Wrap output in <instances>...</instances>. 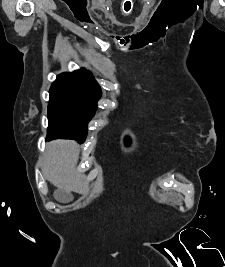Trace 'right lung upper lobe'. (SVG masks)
<instances>
[{"label":"right lung upper lobe","instance_id":"1","mask_svg":"<svg viewBox=\"0 0 225 267\" xmlns=\"http://www.w3.org/2000/svg\"><path fill=\"white\" fill-rule=\"evenodd\" d=\"M52 85L79 91L94 103L101 96L100 86L91 73L85 69L74 71L73 73H62L57 76Z\"/></svg>","mask_w":225,"mask_h":267}]
</instances>
